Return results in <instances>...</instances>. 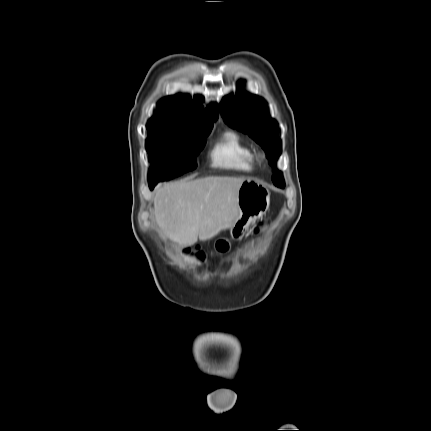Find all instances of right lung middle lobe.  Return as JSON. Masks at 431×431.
Segmentation results:
<instances>
[{"label": "right lung middle lobe", "mask_w": 431, "mask_h": 431, "mask_svg": "<svg viewBox=\"0 0 431 431\" xmlns=\"http://www.w3.org/2000/svg\"><path fill=\"white\" fill-rule=\"evenodd\" d=\"M212 126L188 129L163 124H147L146 148L152 183L170 180L196 167V156L203 149Z\"/></svg>", "instance_id": "1"}]
</instances>
